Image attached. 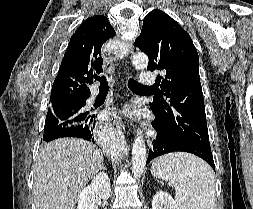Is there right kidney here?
<instances>
[{"label": "right kidney", "instance_id": "obj_1", "mask_svg": "<svg viewBox=\"0 0 253 209\" xmlns=\"http://www.w3.org/2000/svg\"><path fill=\"white\" fill-rule=\"evenodd\" d=\"M110 180L106 173H99L91 184L78 195L77 209H93L96 198L106 200L110 197Z\"/></svg>", "mask_w": 253, "mask_h": 209}]
</instances>
